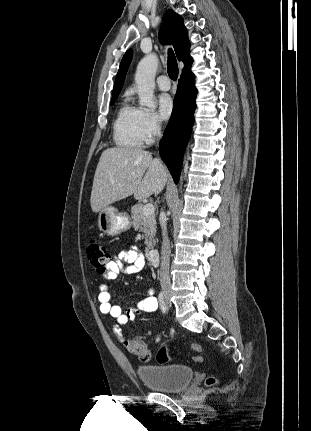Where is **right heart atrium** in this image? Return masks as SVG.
Returning a JSON list of instances; mask_svg holds the SVG:
<instances>
[{
    "label": "right heart atrium",
    "instance_id": "obj_1",
    "mask_svg": "<svg viewBox=\"0 0 311 431\" xmlns=\"http://www.w3.org/2000/svg\"><path fill=\"white\" fill-rule=\"evenodd\" d=\"M142 117L146 134L145 141L150 143L162 134L163 122L153 110H142Z\"/></svg>",
    "mask_w": 311,
    "mask_h": 431
}]
</instances>
